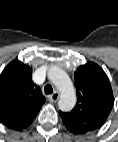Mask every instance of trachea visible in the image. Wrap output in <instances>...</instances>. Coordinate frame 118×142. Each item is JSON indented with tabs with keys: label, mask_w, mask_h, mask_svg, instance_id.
Returning <instances> with one entry per match:
<instances>
[{
	"label": "trachea",
	"mask_w": 118,
	"mask_h": 142,
	"mask_svg": "<svg viewBox=\"0 0 118 142\" xmlns=\"http://www.w3.org/2000/svg\"><path fill=\"white\" fill-rule=\"evenodd\" d=\"M44 92H45V94H51V93H53V88H52V86L51 85H46L45 87H44Z\"/></svg>",
	"instance_id": "trachea-1"
}]
</instances>
